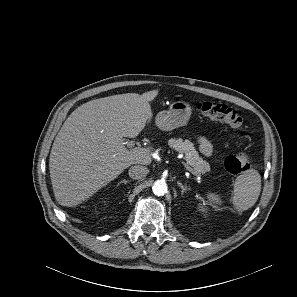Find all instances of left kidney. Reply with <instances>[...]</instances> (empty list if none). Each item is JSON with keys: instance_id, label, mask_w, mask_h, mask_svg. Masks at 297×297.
Segmentation results:
<instances>
[{"instance_id": "obj_1", "label": "left kidney", "mask_w": 297, "mask_h": 297, "mask_svg": "<svg viewBox=\"0 0 297 297\" xmlns=\"http://www.w3.org/2000/svg\"><path fill=\"white\" fill-rule=\"evenodd\" d=\"M199 210L202 211V212L206 211V209L202 206V204L199 205Z\"/></svg>"}]
</instances>
